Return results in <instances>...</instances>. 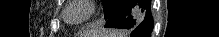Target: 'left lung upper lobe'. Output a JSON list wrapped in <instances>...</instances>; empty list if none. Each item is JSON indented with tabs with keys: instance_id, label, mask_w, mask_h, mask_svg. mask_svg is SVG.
Listing matches in <instances>:
<instances>
[{
	"instance_id": "5c2ea615",
	"label": "left lung upper lobe",
	"mask_w": 219,
	"mask_h": 37,
	"mask_svg": "<svg viewBox=\"0 0 219 37\" xmlns=\"http://www.w3.org/2000/svg\"><path fill=\"white\" fill-rule=\"evenodd\" d=\"M102 2L104 7V18L105 20H108L119 0H102Z\"/></svg>"
}]
</instances>
